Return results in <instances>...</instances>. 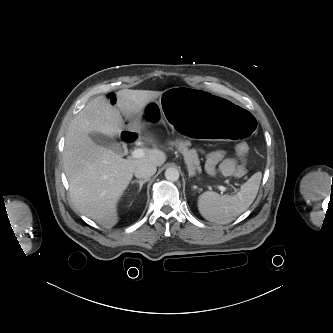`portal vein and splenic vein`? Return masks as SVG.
<instances>
[{
	"label": "portal vein and splenic vein",
	"mask_w": 333,
	"mask_h": 333,
	"mask_svg": "<svg viewBox=\"0 0 333 333\" xmlns=\"http://www.w3.org/2000/svg\"><path fill=\"white\" fill-rule=\"evenodd\" d=\"M143 156H145V152L143 149L138 148V149H135L134 151H132V157H134V158H141ZM218 189L222 193L226 191V187H224V186H218Z\"/></svg>",
	"instance_id": "1"
}]
</instances>
